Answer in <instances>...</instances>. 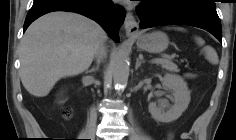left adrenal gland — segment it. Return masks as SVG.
<instances>
[{"label":"left adrenal gland","mask_w":236,"mask_h":140,"mask_svg":"<svg viewBox=\"0 0 236 140\" xmlns=\"http://www.w3.org/2000/svg\"><path fill=\"white\" fill-rule=\"evenodd\" d=\"M145 61L143 59L137 58L136 59V65H135V69L137 70L142 63H144Z\"/></svg>","instance_id":"obj_1"}]
</instances>
